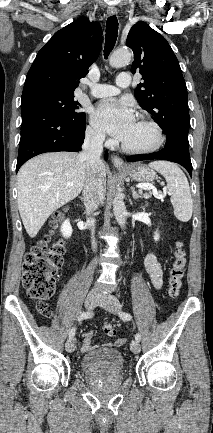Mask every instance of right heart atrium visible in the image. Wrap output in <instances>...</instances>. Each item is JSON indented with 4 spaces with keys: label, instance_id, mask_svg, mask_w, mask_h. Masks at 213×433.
<instances>
[{
    "label": "right heart atrium",
    "instance_id": "obj_1",
    "mask_svg": "<svg viewBox=\"0 0 213 433\" xmlns=\"http://www.w3.org/2000/svg\"><path fill=\"white\" fill-rule=\"evenodd\" d=\"M87 137L96 143H102L105 141L104 133L96 127L89 126L86 130Z\"/></svg>",
    "mask_w": 213,
    "mask_h": 433
}]
</instances>
